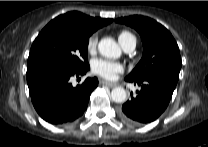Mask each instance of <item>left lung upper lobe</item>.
<instances>
[{
  "instance_id": "left-lung-upper-lobe-1",
  "label": "left lung upper lobe",
  "mask_w": 208,
  "mask_h": 147,
  "mask_svg": "<svg viewBox=\"0 0 208 147\" xmlns=\"http://www.w3.org/2000/svg\"><path fill=\"white\" fill-rule=\"evenodd\" d=\"M116 22L137 30L143 44L142 59L127 79L138 80L152 75H162L178 81L181 69L179 48L164 26L151 18L138 15L118 18Z\"/></svg>"
}]
</instances>
